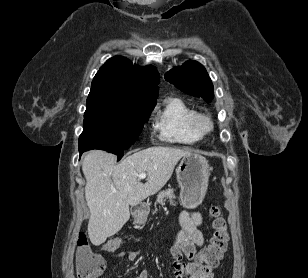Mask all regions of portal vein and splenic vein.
Returning a JSON list of instances; mask_svg holds the SVG:
<instances>
[{
    "mask_svg": "<svg viewBox=\"0 0 308 278\" xmlns=\"http://www.w3.org/2000/svg\"><path fill=\"white\" fill-rule=\"evenodd\" d=\"M138 177H139L140 179H145V178H146V173H145V172L140 173V174L138 175Z\"/></svg>",
    "mask_w": 308,
    "mask_h": 278,
    "instance_id": "obj_1",
    "label": "portal vein and splenic vein"
}]
</instances>
